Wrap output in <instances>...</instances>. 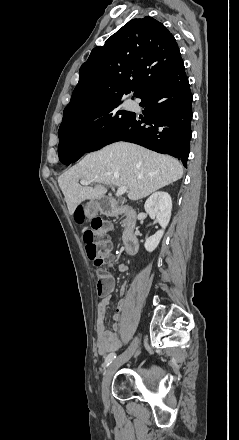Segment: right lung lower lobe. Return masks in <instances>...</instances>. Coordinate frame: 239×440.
<instances>
[{
    "label": "right lung lower lobe",
    "mask_w": 239,
    "mask_h": 440,
    "mask_svg": "<svg viewBox=\"0 0 239 440\" xmlns=\"http://www.w3.org/2000/svg\"><path fill=\"white\" fill-rule=\"evenodd\" d=\"M137 98L142 100L140 105L145 107V117L133 113L127 121L100 135L88 146L63 147L58 150L59 160L69 165L85 153L122 140L172 155L187 167L193 98L183 60Z\"/></svg>",
    "instance_id": "1"
}]
</instances>
